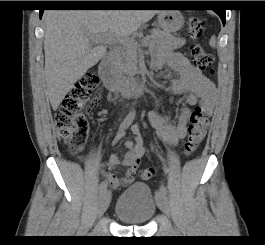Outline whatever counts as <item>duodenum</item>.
<instances>
[{
	"label": "duodenum",
	"instance_id": "obj_1",
	"mask_svg": "<svg viewBox=\"0 0 265 245\" xmlns=\"http://www.w3.org/2000/svg\"><path fill=\"white\" fill-rule=\"evenodd\" d=\"M98 72L106 88L111 93L122 95L125 98L142 91L145 87L144 81L139 77L123 78L117 76L115 63L110 57L100 62Z\"/></svg>",
	"mask_w": 265,
	"mask_h": 245
}]
</instances>
